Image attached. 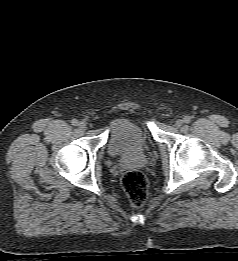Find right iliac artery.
I'll use <instances>...</instances> for the list:
<instances>
[{
  "instance_id": "right-iliac-artery-1",
  "label": "right iliac artery",
  "mask_w": 238,
  "mask_h": 261,
  "mask_svg": "<svg viewBox=\"0 0 238 261\" xmlns=\"http://www.w3.org/2000/svg\"><path fill=\"white\" fill-rule=\"evenodd\" d=\"M71 123H72V125H74V126H78V125H79V121H78L77 119H73V120L71 121Z\"/></svg>"
}]
</instances>
